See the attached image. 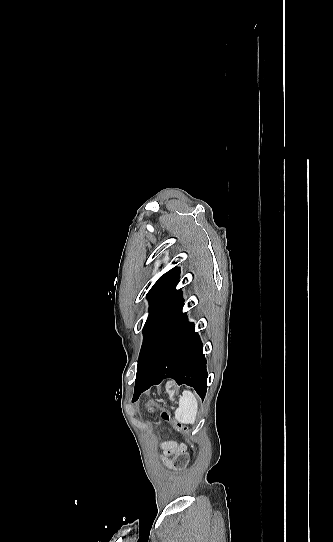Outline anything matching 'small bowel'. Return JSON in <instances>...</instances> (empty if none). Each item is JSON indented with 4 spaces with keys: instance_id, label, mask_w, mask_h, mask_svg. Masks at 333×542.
Segmentation results:
<instances>
[{
    "instance_id": "c3829d8e",
    "label": "small bowel",
    "mask_w": 333,
    "mask_h": 542,
    "mask_svg": "<svg viewBox=\"0 0 333 542\" xmlns=\"http://www.w3.org/2000/svg\"><path fill=\"white\" fill-rule=\"evenodd\" d=\"M165 454L172 457H177L185 454L186 446L176 441H165L160 444Z\"/></svg>"
}]
</instances>
